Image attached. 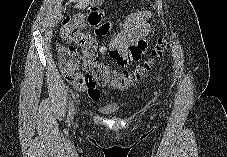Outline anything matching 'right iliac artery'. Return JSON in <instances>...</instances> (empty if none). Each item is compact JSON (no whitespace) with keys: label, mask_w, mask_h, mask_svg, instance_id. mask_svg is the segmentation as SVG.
Returning a JSON list of instances; mask_svg holds the SVG:
<instances>
[{"label":"right iliac artery","mask_w":227,"mask_h":157,"mask_svg":"<svg viewBox=\"0 0 227 157\" xmlns=\"http://www.w3.org/2000/svg\"><path fill=\"white\" fill-rule=\"evenodd\" d=\"M74 115V102H70L69 113H68V123L70 124Z\"/></svg>","instance_id":"1"}]
</instances>
